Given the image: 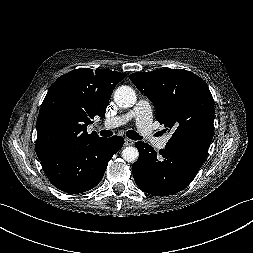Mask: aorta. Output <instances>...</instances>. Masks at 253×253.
I'll return each mask as SVG.
<instances>
[{"instance_id": "obj_1", "label": "aorta", "mask_w": 253, "mask_h": 253, "mask_svg": "<svg viewBox=\"0 0 253 253\" xmlns=\"http://www.w3.org/2000/svg\"><path fill=\"white\" fill-rule=\"evenodd\" d=\"M116 104L123 108L132 107L137 100L135 91L129 86H120L114 93ZM139 157L137 148L128 146L122 150V158L130 163L135 162Z\"/></svg>"}]
</instances>
